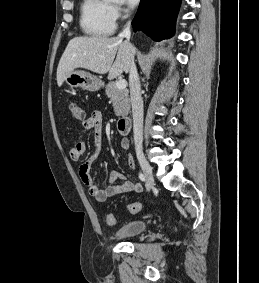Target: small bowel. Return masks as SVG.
<instances>
[{"instance_id":"1","label":"small bowel","mask_w":259,"mask_h":283,"mask_svg":"<svg viewBox=\"0 0 259 283\" xmlns=\"http://www.w3.org/2000/svg\"><path fill=\"white\" fill-rule=\"evenodd\" d=\"M82 126L85 130L92 131L93 141L95 145V150L86 160L78 165V174L87 187L89 194L94 197L99 202H105L111 197L118 194L133 192L141 193L143 186L138 182L130 181L126 178L123 173L117 171H111L109 173L110 185L105 189H101L93 180L91 175V168L94 162L98 159L100 154V149L102 145V114L100 111H93L90 116H88L83 122ZM121 150L127 151L129 147V142L127 139L122 138L119 142ZM86 151V144L83 141H79L74 144L69 150V157L74 162H79L82 155ZM126 163L128 167L134 168L135 162L131 155L126 154ZM121 182L118 183L117 181Z\"/></svg>"}]
</instances>
